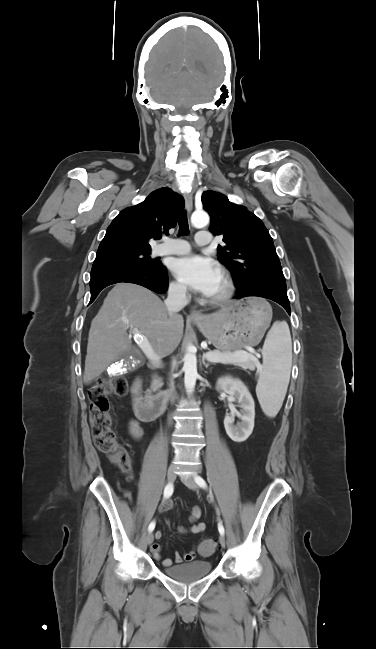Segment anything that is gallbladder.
I'll list each match as a JSON object with an SVG mask.
<instances>
[{
	"label": "gallbladder",
	"mask_w": 376,
	"mask_h": 649,
	"mask_svg": "<svg viewBox=\"0 0 376 649\" xmlns=\"http://www.w3.org/2000/svg\"><path fill=\"white\" fill-rule=\"evenodd\" d=\"M129 355H130L129 353H124L120 356V359H124L125 363L130 362Z\"/></svg>",
	"instance_id": "obj_1"
}]
</instances>
